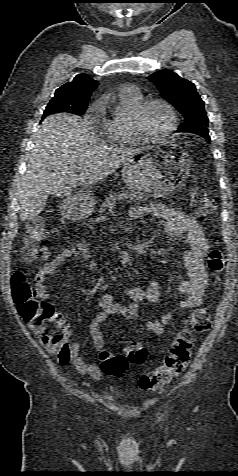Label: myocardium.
Here are the masks:
<instances>
[{
    "label": "myocardium",
    "instance_id": "myocardium-1",
    "mask_svg": "<svg viewBox=\"0 0 238 476\" xmlns=\"http://www.w3.org/2000/svg\"><path fill=\"white\" fill-rule=\"evenodd\" d=\"M152 104H161L163 105L169 115H170V123L168 127L160 134L151 135L144 131L141 126V118L146 111V109ZM178 117L175 108L173 105L163 98H148L141 101L137 107L134 109L130 116V129L137 138L138 141L147 142V141H157L162 140L168 137L173 131H175L177 127Z\"/></svg>",
    "mask_w": 238,
    "mask_h": 476
}]
</instances>
